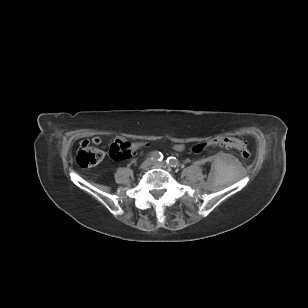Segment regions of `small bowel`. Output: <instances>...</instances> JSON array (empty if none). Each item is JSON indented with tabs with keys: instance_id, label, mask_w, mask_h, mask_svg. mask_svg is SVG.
Segmentation results:
<instances>
[{
	"instance_id": "obj_1",
	"label": "small bowel",
	"mask_w": 308,
	"mask_h": 308,
	"mask_svg": "<svg viewBox=\"0 0 308 308\" xmlns=\"http://www.w3.org/2000/svg\"><path fill=\"white\" fill-rule=\"evenodd\" d=\"M122 140V139H121ZM92 143L94 144V145H100L101 144V142H102V139H101V137L100 136H94L93 138H92ZM126 142V141H125ZM142 148V147H141ZM173 149L175 150V151H183L184 149H185V146H184V144H182V143H176V144H174L173 145Z\"/></svg>"
}]
</instances>
